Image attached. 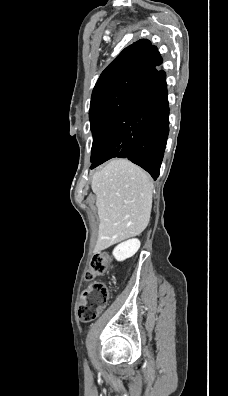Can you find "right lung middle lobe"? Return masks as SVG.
Instances as JSON below:
<instances>
[{"mask_svg": "<svg viewBox=\"0 0 228 396\" xmlns=\"http://www.w3.org/2000/svg\"><path fill=\"white\" fill-rule=\"evenodd\" d=\"M145 75V70L134 71L107 80L94 88L89 111L93 133L92 164L111 126L123 111Z\"/></svg>", "mask_w": 228, "mask_h": 396, "instance_id": "1", "label": "right lung middle lobe"}]
</instances>
